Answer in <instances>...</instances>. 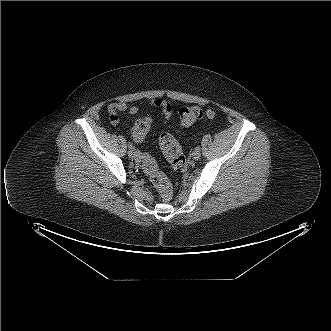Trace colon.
I'll use <instances>...</instances> for the list:
<instances>
[{"mask_svg":"<svg viewBox=\"0 0 331 331\" xmlns=\"http://www.w3.org/2000/svg\"><path fill=\"white\" fill-rule=\"evenodd\" d=\"M212 109L203 110L198 106H186L179 111V124L182 127H189L202 118H213ZM151 120L144 117L135 122L133 127V138L141 141L147 135ZM159 145L167 161L173 169L182 170L186 167L187 160L178 140L170 133H163L159 137ZM141 166L144 173L149 177L151 184L157 189L161 199L165 202L171 200L173 196L172 186L167 177L160 171L155 159L149 155H143Z\"/></svg>","mask_w":331,"mask_h":331,"instance_id":"5ec220e1","label":"colon"}]
</instances>
